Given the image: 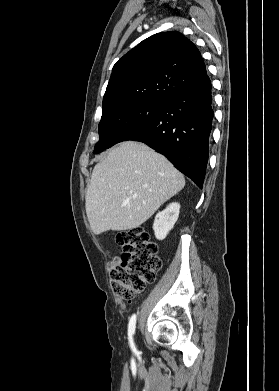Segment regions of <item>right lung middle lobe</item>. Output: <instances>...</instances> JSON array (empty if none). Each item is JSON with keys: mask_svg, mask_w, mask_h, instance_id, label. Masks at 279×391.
<instances>
[{"mask_svg": "<svg viewBox=\"0 0 279 391\" xmlns=\"http://www.w3.org/2000/svg\"><path fill=\"white\" fill-rule=\"evenodd\" d=\"M162 105V102H136L102 113L99 141L93 153H100L123 141L131 132L149 123Z\"/></svg>", "mask_w": 279, "mask_h": 391, "instance_id": "1", "label": "right lung middle lobe"}]
</instances>
